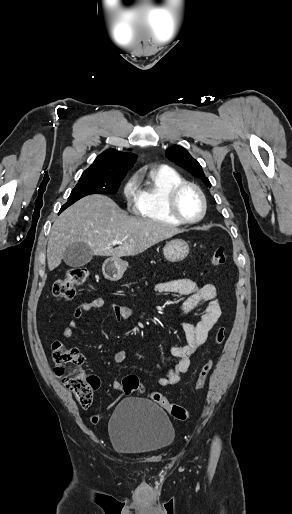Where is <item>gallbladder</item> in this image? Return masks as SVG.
Wrapping results in <instances>:
<instances>
[{"label": "gallbladder", "instance_id": "1", "mask_svg": "<svg viewBox=\"0 0 292 514\" xmlns=\"http://www.w3.org/2000/svg\"><path fill=\"white\" fill-rule=\"evenodd\" d=\"M94 254L85 242H74L64 252V262L71 268H81L91 262Z\"/></svg>", "mask_w": 292, "mask_h": 514}]
</instances>
